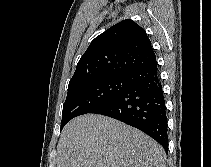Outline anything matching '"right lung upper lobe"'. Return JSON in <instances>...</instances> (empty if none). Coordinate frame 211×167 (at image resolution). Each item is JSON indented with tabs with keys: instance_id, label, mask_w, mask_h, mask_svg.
I'll return each instance as SVG.
<instances>
[{
	"instance_id": "1",
	"label": "right lung upper lobe",
	"mask_w": 211,
	"mask_h": 167,
	"mask_svg": "<svg viewBox=\"0 0 211 167\" xmlns=\"http://www.w3.org/2000/svg\"><path fill=\"white\" fill-rule=\"evenodd\" d=\"M156 61L151 42L133 20H123L96 37L79 60L68 89L108 76H128Z\"/></svg>"
}]
</instances>
